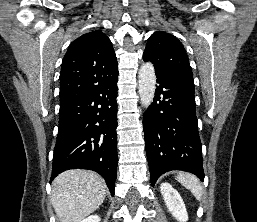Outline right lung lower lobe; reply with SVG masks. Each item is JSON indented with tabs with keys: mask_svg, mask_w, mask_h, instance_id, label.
<instances>
[{
	"mask_svg": "<svg viewBox=\"0 0 257 222\" xmlns=\"http://www.w3.org/2000/svg\"><path fill=\"white\" fill-rule=\"evenodd\" d=\"M117 78L118 71L91 92L60 106L51 181L68 169H89L103 176L114 195Z\"/></svg>",
	"mask_w": 257,
	"mask_h": 222,
	"instance_id": "98d812e1",
	"label": "right lung lower lobe"
}]
</instances>
